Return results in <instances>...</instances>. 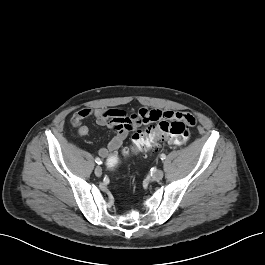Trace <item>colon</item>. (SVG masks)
Here are the masks:
<instances>
[{
  "instance_id": "colon-1",
  "label": "colon",
  "mask_w": 265,
  "mask_h": 265,
  "mask_svg": "<svg viewBox=\"0 0 265 265\" xmlns=\"http://www.w3.org/2000/svg\"><path fill=\"white\" fill-rule=\"evenodd\" d=\"M149 123L151 125L147 129L137 131L132 135L131 146L124 149L125 154L129 151H155L162 142L183 145L189 140L190 126H193L196 120L193 116L185 121L167 117L159 111H151ZM119 163L118 156L113 155L108 159L107 166L112 169L117 167Z\"/></svg>"
}]
</instances>
